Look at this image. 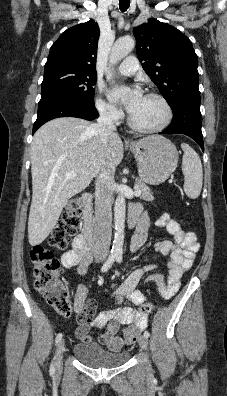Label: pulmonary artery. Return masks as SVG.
Wrapping results in <instances>:
<instances>
[{
    "label": "pulmonary artery",
    "mask_w": 227,
    "mask_h": 396,
    "mask_svg": "<svg viewBox=\"0 0 227 396\" xmlns=\"http://www.w3.org/2000/svg\"><path fill=\"white\" fill-rule=\"evenodd\" d=\"M139 69V63L136 57L128 56L118 66V72L122 75H133Z\"/></svg>",
    "instance_id": "obj_1"
}]
</instances>
